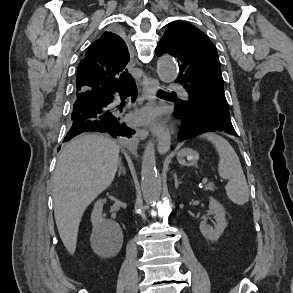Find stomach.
Wrapping results in <instances>:
<instances>
[{
  "instance_id": "obj_1",
  "label": "stomach",
  "mask_w": 293,
  "mask_h": 293,
  "mask_svg": "<svg viewBox=\"0 0 293 293\" xmlns=\"http://www.w3.org/2000/svg\"><path fill=\"white\" fill-rule=\"evenodd\" d=\"M199 154L190 148H183L177 153V160L179 164L184 166L197 165Z\"/></svg>"
}]
</instances>
